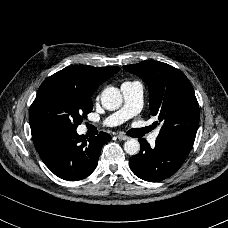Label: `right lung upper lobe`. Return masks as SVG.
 Instances as JSON below:
<instances>
[{
  "mask_svg": "<svg viewBox=\"0 0 228 228\" xmlns=\"http://www.w3.org/2000/svg\"><path fill=\"white\" fill-rule=\"evenodd\" d=\"M120 70L119 67H92L76 65L66 67L52 77L75 83L80 89L91 96L98 86Z\"/></svg>",
  "mask_w": 228,
  "mask_h": 228,
  "instance_id": "1",
  "label": "right lung upper lobe"
}]
</instances>
